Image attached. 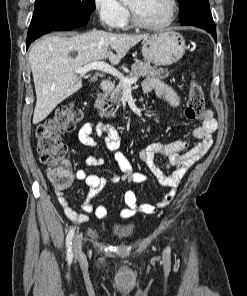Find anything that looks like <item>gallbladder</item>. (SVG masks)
Segmentation results:
<instances>
[{
    "label": "gallbladder",
    "mask_w": 247,
    "mask_h": 296,
    "mask_svg": "<svg viewBox=\"0 0 247 296\" xmlns=\"http://www.w3.org/2000/svg\"><path fill=\"white\" fill-rule=\"evenodd\" d=\"M91 80H92V81H95V79H94V78H92Z\"/></svg>",
    "instance_id": "obj_1"
}]
</instances>
